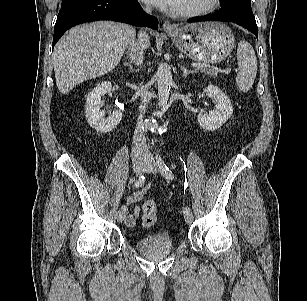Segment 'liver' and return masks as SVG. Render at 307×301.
Masks as SVG:
<instances>
[{"mask_svg":"<svg viewBox=\"0 0 307 301\" xmlns=\"http://www.w3.org/2000/svg\"><path fill=\"white\" fill-rule=\"evenodd\" d=\"M135 29L113 21H97L72 28L54 48L56 85L67 94L76 85L114 69L135 41ZM144 48L150 40L143 38Z\"/></svg>","mask_w":307,"mask_h":301,"instance_id":"1","label":"liver"}]
</instances>
